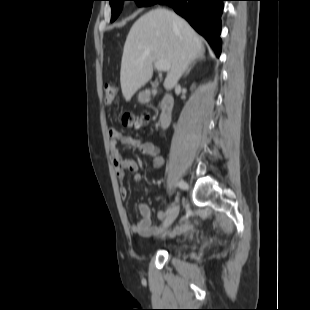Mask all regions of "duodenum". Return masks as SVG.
Segmentation results:
<instances>
[{
    "label": "duodenum",
    "mask_w": 310,
    "mask_h": 310,
    "mask_svg": "<svg viewBox=\"0 0 310 310\" xmlns=\"http://www.w3.org/2000/svg\"><path fill=\"white\" fill-rule=\"evenodd\" d=\"M173 105V97L169 93H165L160 102L158 121V128L161 132L164 131L171 123Z\"/></svg>",
    "instance_id": "1"
}]
</instances>
